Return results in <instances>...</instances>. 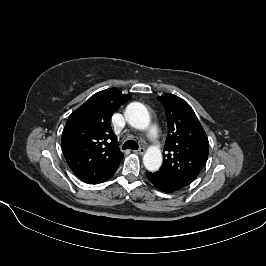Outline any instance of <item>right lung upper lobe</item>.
<instances>
[{
  "instance_id": "obj_1",
  "label": "right lung upper lobe",
  "mask_w": 266,
  "mask_h": 266,
  "mask_svg": "<svg viewBox=\"0 0 266 266\" xmlns=\"http://www.w3.org/2000/svg\"><path fill=\"white\" fill-rule=\"evenodd\" d=\"M130 98L117 88H109L91 96L69 116L62 149L70 169L82 181L98 184L116 172L123 154L110 119Z\"/></svg>"
}]
</instances>
